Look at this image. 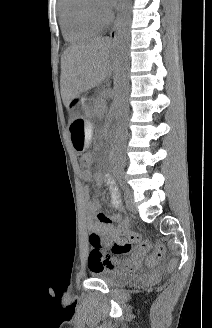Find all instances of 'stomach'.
Wrapping results in <instances>:
<instances>
[{
	"label": "stomach",
	"mask_w": 212,
	"mask_h": 328,
	"mask_svg": "<svg viewBox=\"0 0 212 328\" xmlns=\"http://www.w3.org/2000/svg\"><path fill=\"white\" fill-rule=\"evenodd\" d=\"M85 98L77 96L66 102V127L70 130L71 142L77 152L84 151L91 138V120L93 110L91 102H84Z\"/></svg>",
	"instance_id": "obj_1"
}]
</instances>
